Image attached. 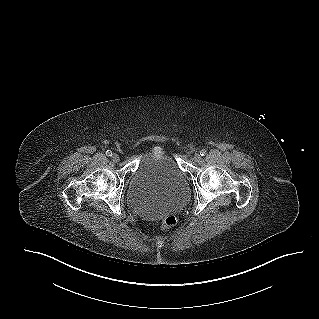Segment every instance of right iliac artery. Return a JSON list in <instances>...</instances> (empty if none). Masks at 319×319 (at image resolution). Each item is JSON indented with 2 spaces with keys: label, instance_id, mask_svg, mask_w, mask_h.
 I'll use <instances>...</instances> for the list:
<instances>
[{
  "label": "right iliac artery",
  "instance_id": "obj_1",
  "mask_svg": "<svg viewBox=\"0 0 319 319\" xmlns=\"http://www.w3.org/2000/svg\"><path fill=\"white\" fill-rule=\"evenodd\" d=\"M106 155L109 157V156H112V152L110 150H107L106 151Z\"/></svg>",
  "mask_w": 319,
  "mask_h": 319
}]
</instances>
